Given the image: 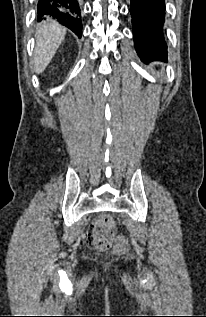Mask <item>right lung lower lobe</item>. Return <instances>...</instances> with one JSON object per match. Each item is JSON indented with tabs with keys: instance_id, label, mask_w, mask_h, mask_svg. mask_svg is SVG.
<instances>
[{
	"instance_id": "obj_1",
	"label": "right lung lower lobe",
	"mask_w": 206,
	"mask_h": 317,
	"mask_svg": "<svg viewBox=\"0 0 206 317\" xmlns=\"http://www.w3.org/2000/svg\"><path fill=\"white\" fill-rule=\"evenodd\" d=\"M53 17L60 24L68 27L79 38L82 35L81 8L79 0H39L37 20Z\"/></svg>"
}]
</instances>
